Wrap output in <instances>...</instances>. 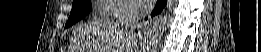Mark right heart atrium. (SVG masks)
<instances>
[{
    "instance_id": "right-heart-atrium-1",
    "label": "right heart atrium",
    "mask_w": 261,
    "mask_h": 52,
    "mask_svg": "<svg viewBox=\"0 0 261 52\" xmlns=\"http://www.w3.org/2000/svg\"><path fill=\"white\" fill-rule=\"evenodd\" d=\"M102 2L115 7L108 12L107 15L110 17L132 18L136 15V8L129 0H102Z\"/></svg>"
}]
</instances>
